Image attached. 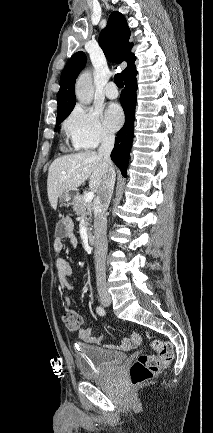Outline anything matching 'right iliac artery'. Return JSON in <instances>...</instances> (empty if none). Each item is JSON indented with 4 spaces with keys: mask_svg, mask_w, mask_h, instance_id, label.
I'll return each mask as SVG.
<instances>
[{
    "mask_svg": "<svg viewBox=\"0 0 213 433\" xmlns=\"http://www.w3.org/2000/svg\"><path fill=\"white\" fill-rule=\"evenodd\" d=\"M96 312L100 315V316H104L105 315V309L101 306H98L96 308Z\"/></svg>",
    "mask_w": 213,
    "mask_h": 433,
    "instance_id": "82829eb1",
    "label": "right iliac artery"
}]
</instances>
